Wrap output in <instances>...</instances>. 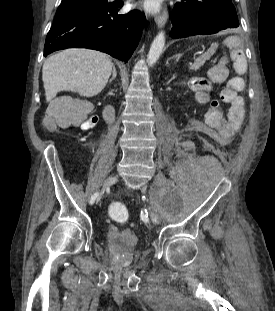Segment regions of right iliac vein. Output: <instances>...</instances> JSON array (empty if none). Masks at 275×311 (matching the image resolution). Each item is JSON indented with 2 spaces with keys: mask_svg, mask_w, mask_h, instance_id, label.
<instances>
[{
  "mask_svg": "<svg viewBox=\"0 0 275 311\" xmlns=\"http://www.w3.org/2000/svg\"><path fill=\"white\" fill-rule=\"evenodd\" d=\"M118 180V176L117 175H110L104 182L103 184V188L101 189L100 194L98 195V197L96 198V202L98 203L103 195V193L105 192V190L110 187L111 185H113L114 183H116V181Z\"/></svg>",
  "mask_w": 275,
  "mask_h": 311,
  "instance_id": "63e3f726",
  "label": "right iliac vein"
}]
</instances>
